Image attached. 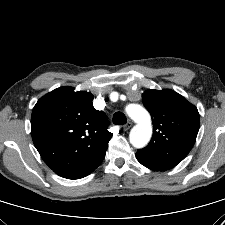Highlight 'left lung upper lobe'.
I'll return each instance as SVG.
<instances>
[{"mask_svg": "<svg viewBox=\"0 0 225 225\" xmlns=\"http://www.w3.org/2000/svg\"><path fill=\"white\" fill-rule=\"evenodd\" d=\"M142 101L150 112L154 132L151 142L137 151L143 161L168 170L180 163L192 149L199 131L197 108L175 91L147 90Z\"/></svg>", "mask_w": 225, "mask_h": 225, "instance_id": "5c2ea615", "label": "left lung upper lobe"}]
</instances>
